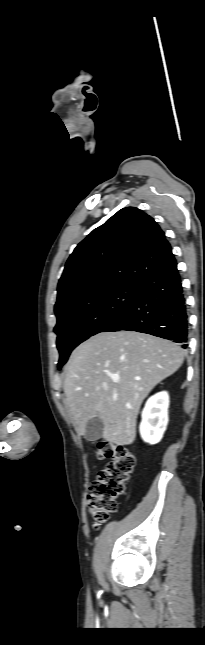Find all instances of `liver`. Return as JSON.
Listing matches in <instances>:
<instances>
[{"instance_id":"6515ba94","label":"liver","mask_w":205,"mask_h":645,"mask_svg":"<svg viewBox=\"0 0 205 645\" xmlns=\"http://www.w3.org/2000/svg\"><path fill=\"white\" fill-rule=\"evenodd\" d=\"M183 360L178 344L149 334L119 331L90 337L75 348L65 370L64 393L76 432L84 435L88 421L98 417L105 440L132 444L143 400Z\"/></svg>"}]
</instances>
